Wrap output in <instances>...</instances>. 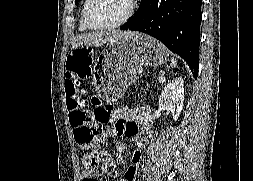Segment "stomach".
<instances>
[{
	"label": "stomach",
	"mask_w": 253,
	"mask_h": 181,
	"mask_svg": "<svg viewBox=\"0 0 253 181\" xmlns=\"http://www.w3.org/2000/svg\"><path fill=\"white\" fill-rule=\"evenodd\" d=\"M168 56L161 43L144 34L108 42L95 63L98 95L106 101L121 98L128 86L141 76L143 66L162 65Z\"/></svg>",
	"instance_id": "obj_1"
}]
</instances>
